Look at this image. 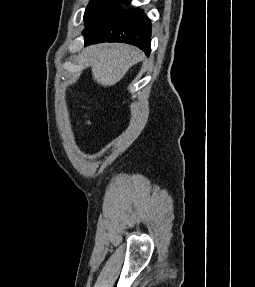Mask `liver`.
Masks as SVG:
<instances>
[{"instance_id":"obj_1","label":"liver","mask_w":255,"mask_h":287,"mask_svg":"<svg viewBox=\"0 0 255 287\" xmlns=\"http://www.w3.org/2000/svg\"><path fill=\"white\" fill-rule=\"evenodd\" d=\"M84 56L83 62L92 66L93 80L100 86H114L143 54L138 48L126 44H97L84 48Z\"/></svg>"}]
</instances>
